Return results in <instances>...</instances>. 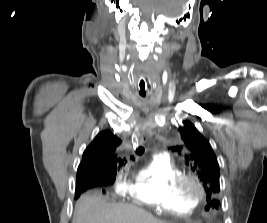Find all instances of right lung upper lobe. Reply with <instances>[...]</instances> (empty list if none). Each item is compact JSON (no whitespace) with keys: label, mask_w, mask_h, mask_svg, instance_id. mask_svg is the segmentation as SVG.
Returning a JSON list of instances; mask_svg holds the SVG:
<instances>
[{"label":"right lung upper lobe","mask_w":267,"mask_h":223,"mask_svg":"<svg viewBox=\"0 0 267 223\" xmlns=\"http://www.w3.org/2000/svg\"><path fill=\"white\" fill-rule=\"evenodd\" d=\"M121 140L109 131L100 132L83 153L78 167L77 178L83 176H103L109 168H117L123 163L114 156L115 148Z\"/></svg>","instance_id":"right-lung-upper-lobe-1"}]
</instances>
